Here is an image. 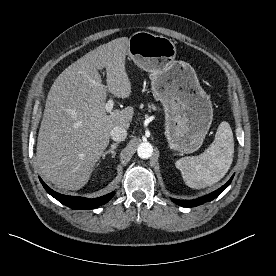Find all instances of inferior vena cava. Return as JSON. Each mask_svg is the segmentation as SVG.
<instances>
[{
    "instance_id": "inferior-vena-cava-1",
    "label": "inferior vena cava",
    "mask_w": 276,
    "mask_h": 276,
    "mask_svg": "<svg viewBox=\"0 0 276 276\" xmlns=\"http://www.w3.org/2000/svg\"><path fill=\"white\" fill-rule=\"evenodd\" d=\"M110 136L114 141H117V142L124 141L127 137V131L125 128L121 126H116L111 130Z\"/></svg>"
}]
</instances>
